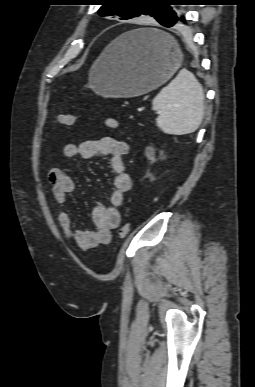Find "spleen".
Listing matches in <instances>:
<instances>
[{
  "label": "spleen",
  "mask_w": 255,
  "mask_h": 387,
  "mask_svg": "<svg viewBox=\"0 0 255 387\" xmlns=\"http://www.w3.org/2000/svg\"><path fill=\"white\" fill-rule=\"evenodd\" d=\"M152 109L159 113L157 127L166 134L195 132L204 115V93L196 77L186 69L153 99Z\"/></svg>",
  "instance_id": "obj_1"
}]
</instances>
